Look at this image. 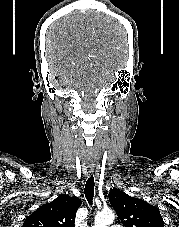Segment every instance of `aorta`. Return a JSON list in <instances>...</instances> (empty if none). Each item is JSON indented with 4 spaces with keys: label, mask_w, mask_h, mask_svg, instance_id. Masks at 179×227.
<instances>
[{
    "label": "aorta",
    "mask_w": 179,
    "mask_h": 227,
    "mask_svg": "<svg viewBox=\"0 0 179 227\" xmlns=\"http://www.w3.org/2000/svg\"><path fill=\"white\" fill-rule=\"evenodd\" d=\"M115 219L112 210H104L95 216L94 227H109Z\"/></svg>",
    "instance_id": "1"
}]
</instances>
